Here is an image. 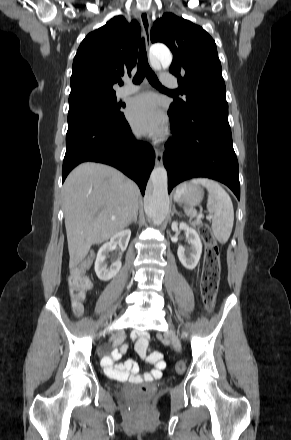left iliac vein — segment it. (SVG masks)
Instances as JSON below:
<instances>
[{
    "label": "left iliac vein",
    "instance_id": "1",
    "mask_svg": "<svg viewBox=\"0 0 291 440\" xmlns=\"http://www.w3.org/2000/svg\"><path fill=\"white\" fill-rule=\"evenodd\" d=\"M171 340H172V343H173L174 347L177 350H180V343H179L178 338L175 335H171Z\"/></svg>",
    "mask_w": 291,
    "mask_h": 440
}]
</instances>
